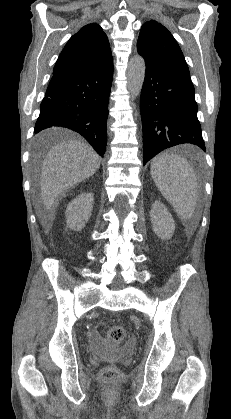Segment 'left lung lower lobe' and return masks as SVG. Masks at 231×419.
<instances>
[{
	"mask_svg": "<svg viewBox=\"0 0 231 419\" xmlns=\"http://www.w3.org/2000/svg\"><path fill=\"white\" fill-rule=\"evenodd\" d=\"M140 106L144 164L179 144L206 151L190 75L146 66Z\"/></svg>",
	"mask_w": 231,
	"mask_h": 419,
	"instance_id": "left-lung-lower-lobe-1",
	"label": "left lung lower lobe"
}]
</instances>
